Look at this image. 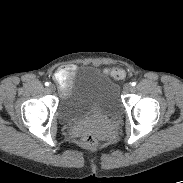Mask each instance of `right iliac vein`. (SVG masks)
<instances>
[{
    "mask_svg": "<svg viewBox=\"0 0 183 183\" xmlns=\"http://www.w3.org/2000/svg\"><path fill=\"white\" fill-rule=\"evenodd\" d=\"M48 90H49L50 92L55 91V86H54V85H50V86L48 87Z\"/></svg>",
    "mask_w": 183,
    "mask_h": 183,
    "instance_id": "right-iliac-vein-1",
    "label": "right iliac vein"
}]
</instances>
